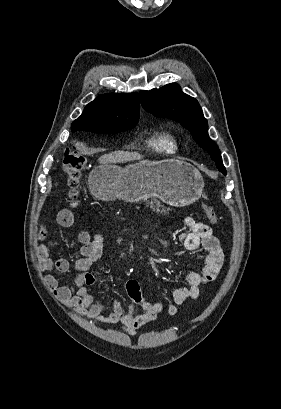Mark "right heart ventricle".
<instances>
[{"instance_id": "e07e8e85", "label": "right heart ventricle", "mask_w": 281, "mask_h": 409, "mask_svg": "<svg viewBox=\"0 0 281 409\" xmlns=\"http://www.w3.org/2000/svg\"><path fill=\"white\" fill-rule=\"evenodd\" d=\"M161 148L168 151V152H174L177 150V143L174 139L166 137L161 141L160 144Z\"/></svg>"}]
</instances>
